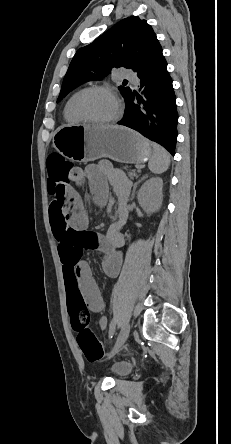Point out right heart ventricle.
<instances>
[{"mask_svg":"<svg viewBox=\"0 0 231 444\" xmlns=\"http://www.w3.org/2000/svg\"><path fill=\"white\" fill-rule=\"evenodd\" d=\"M82 90L83 89H79V90L75 91L73 94H71V96L67 99V101L65 103L63 115H64V119L66 120V122H68L70 124H78L81 122V120L77 117V115L74 112V103H75V100H76L78 94Z\"/></svg>","mask_w":231,"mask_h":444,"instance_id":"1","label":"right heart ventricle"}]
</instances>
